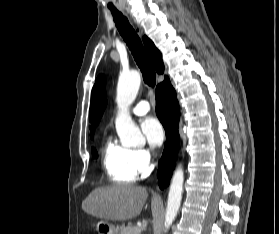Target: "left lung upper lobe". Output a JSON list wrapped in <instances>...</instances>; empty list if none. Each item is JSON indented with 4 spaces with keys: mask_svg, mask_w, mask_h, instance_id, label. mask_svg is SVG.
<instances>
[{
    "mask_svg": "<svg viewBox=\"0 0 279 234\" xmlns=\"http://www.w3.org/2000/svg\"><path fill=\"white\" fill-rule=\"evenodd\" d=\"M106 105L105 77L99 75L91 94L89 120L92 123L91 131L97 126Z\"/></svg>",
    "mask_w": 279,
    "mask_h": 234,
    "instance_id": "5c2ea615",
    "label": "left lung upper lobe"
}]
</instances>
